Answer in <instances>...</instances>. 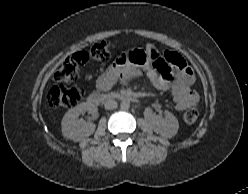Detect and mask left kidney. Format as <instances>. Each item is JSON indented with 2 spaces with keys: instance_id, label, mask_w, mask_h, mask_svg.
<instances>
[{
  "instance_id": "obj_1",
  "label": "left kidney",
  "mask_w": 248,
  "mask_h": 194,
  "mask_svg": "<svg viewBox=\"0 0 248 194\" xmlns=\"http://www.w3.org/2000/svg\"><path fill=\"white\" fill-rule=\"evenodd\" d=\"M178 128V120L172 113L169 112L166 113L165 118L156 117L152 124L153 131L165 138L174 137L178 132Z\"/></svg>"
}]
</instances>
